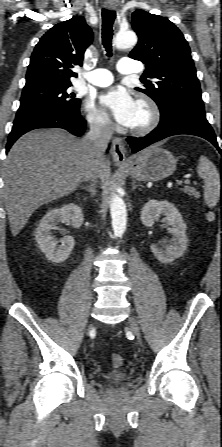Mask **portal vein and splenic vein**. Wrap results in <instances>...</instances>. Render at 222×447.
<instances>
[{
    "mask_svg": "<svg viewBox=\"0 0 222 447\" xmlns=\"http://www.w3.org/2000/svg\"><path fill=\"white\" fill-rule=\"evenodd\" d=\"M177 184H178L179 186L182 185V184L190 185V184H191V181L188 180V179H185L184 181L180 180V181L177 182Z\"/></svg>",
    "mask_w": 222,
    "mask_h": 447,
    "instance_id": "18ae733b",
    "label": "portal vein and splenic vein"
}]
</instances>
